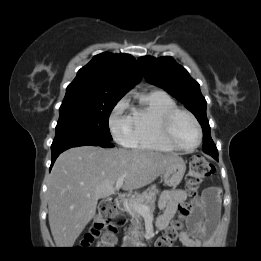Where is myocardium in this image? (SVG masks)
Returning a JSON list of instances; mask_svg holds the SVG:
<instances>
[{"mask_svg": "<svg viewBox=\"0 0 261 261\" xmlns=\"http://www.w3.org/2000/svg\"><path fill=\"white\" fill-rule=\"evenodd\" d=\"M187 115L195 124L197 132H198V141L197 143L192 146V147H183L181 145H179L175 138H174V134H173V124L176 120V118L181 115ZM161 133L162 136L165 140V142L172 147L174 150H178V151H183V152H192L194 150H196L203 139V131H202V127L198 121V119L196 118V116L190 112L189 110L186 109H182V108H175L170 110L169 112H167L161 119Z\"/></svg>", "mask_w": 261, "mask_h": 261, "instance_id": "myocardium-1", "label": "myocardium"}]
</instances>
